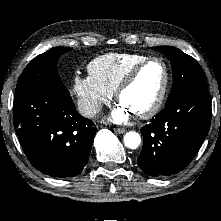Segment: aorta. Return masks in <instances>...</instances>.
Segmentation results:
<instances>
[{
	"label": "aorta",
	"mask_w": 221,
	"mask_h": 221,
	"mask_svg": "<svg viewBox=\"0 0 221 221\" xmlns=\"http://www.w3.org/2000/svg\"><path fill=\"white\" fill-rule=\"evenodd\" d=\"M124 144L130 149H136L141 144L140 135L135 131H129L124 135Z\"/></svg>",
	"instance_id": "1"
}]
</instances>
